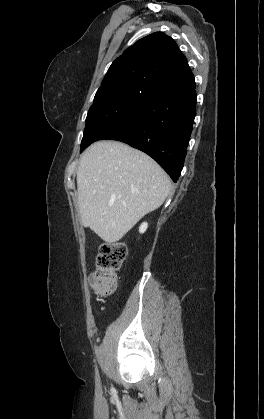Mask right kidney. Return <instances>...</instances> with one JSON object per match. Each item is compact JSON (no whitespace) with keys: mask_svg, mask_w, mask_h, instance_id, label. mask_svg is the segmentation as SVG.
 <instances>
[{"mask_svg":"<svg viewBox=\"0 0 264 419\" xmlns=\"http://www.w3.org/2000/svg\"><path fill=\"white\" fill-rule=\"evenodd\" d=\"M147 227H148V224L146 222L142 223L139 228V232L144 233L147 230Z\"/></svg>","mask_w":264,"mask_h":419,"instance_id":"1","label":"right kidney"}]
</instances>
